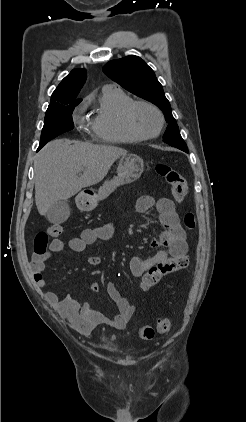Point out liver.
<instances>
[{
	"label": "liver",
	"mask_w": 246,
	"mask_h": 422,
	"mask_svg": "<svg viewBox=\"0 0 246 422\" xmlns=\"http://www.w3.org/2000/svg\"><path fill=\"white\" fill-rule=\"evenodd\" d=\"M127 151L114 146L56 139L39 151L35 161V202L40 215L59 200L99 183ZM83 174L78 177V173Z\"/></svg>",
	"instance_id": "1"
}]
</instances>
